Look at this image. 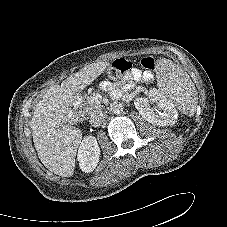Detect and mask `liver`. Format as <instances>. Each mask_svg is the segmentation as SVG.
Masks as SVG:
<instances>
[{
	"mask_svg": "<svg viewBox=\"0 0 227 227\" xmlns=\"http://www.w3.org/2000/svg\"><path fill=\"white\" fill-rule=\"evenodd\" d=\"M97 62L84 66L61 85H52L34 107L30 127L42 164L62 177L73 175L75 157L82 140L81 130L64 124L79 93L109 66Z\"/></svg>",
	"mask_w": 227,
	"mask_h": 227,
	"instance_id": "liver-1",
	"label": "liver"
}]
</instances>
